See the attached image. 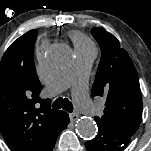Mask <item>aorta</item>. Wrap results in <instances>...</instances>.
<instances>
[{
	"label": "aorta",
	"mask_w": 151,
	"mask_h": 151,
	"mask_svg": "<svg viewBox=\"0 0 151 151\" xmlns=\"http://www.w3.org/2000/svg\"><path fill=\"white\" fill-rule=\"evenodd\" d=\"M47 61L55 67L68 65L73 59L72 50L66 45H54L45 54ZM76 130L84 139L94 137L97 133V125L91 118H81L76 124Z\"/></svg>",
	"instance_id": "762f6f07"
}]
</instances>
